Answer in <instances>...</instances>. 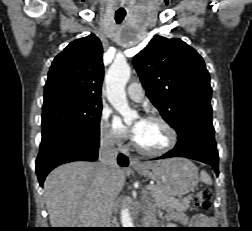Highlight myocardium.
I'll use <instances>...</instances> for the list:
<instances>
[{
  "mask_svg": "<svg viewBox=\"0 0 252 231\" xmlns=\"http://www.w3.org/2000/svg\"><path fill=\"white\" fill-rule=\"evenodd\" d=\"M146 120H151V121H156L161 123L168 131L169 133V142L168 144L158 150H148L145 149L143 147H141L135 140V138L133 139V146L134 148L141 154L143 155H147V156H160V155H164L166 153H168L169 151H171L177 144L178 141V134L176 129L173 127V125L166 120L165 118L158 116V115H150L147 117Z\"/></svg>",
  "mask_w": 252,
  "mask_h": 231,
  "instance_id": "1",
  "label": "myocardium"
}]
</instances>
